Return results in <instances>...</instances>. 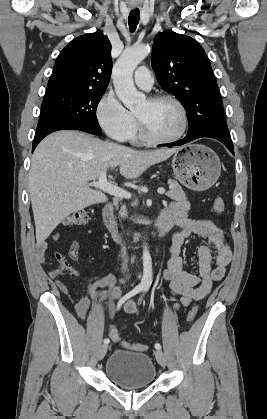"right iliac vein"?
<instances>
[{
	"mask_svg": "<svg viewBox=\"0 0 267 419\" xmlns=\"http://www.w3.org/2000/svg\"><path fill=\"white\" fill-rule=\"evenodd\" d=\"M107 349H108V345L107 344L101 345V347L99 349V359H102L105 356V354L107 352Z\"/></svg>",
	"mask_w": 267,
	"mask_h": 419,
	"instance_id": "obj_1",
	"label": "right iliac vein"
}]
</instances>
